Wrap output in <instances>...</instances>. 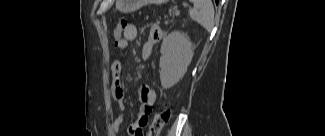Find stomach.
<instances>
[{
  "label": "stomach",
  "instance_id": "obj_1",
  "mask_svg": "<svg viewBox=\"0 0 325 136\" xmlns=\"http://www.w3.org/2000/svg\"><path fill=\"white\" fill-rule=\"evenodd\" d=\"M147 1L144 0H117L116 6L122 12H131L138 9L143 3ZM148 2L155 4H163L167 0H149Z\"/></svg>",
  "mask_w": 325,
  "mask_h": 136
}]
</instances>
